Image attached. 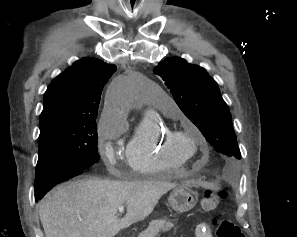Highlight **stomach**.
I'll return each instance as SVG.
<instances>
[{
    "instance_id": "1",
    "label": "stomach",
    "mask_w": 297,
    "mask_h": 237,
    "mask_svg": "<svg viewBox=\"0 0 297 237\" xmlns=\"http://www.w3.org/2000/svg\"><path fill=\"white\" fill-rule=\"evenodd\" d=\"M197 200V194L184 186L174 189L168 198L172 209L179 213L190 211L196 205Z\"/></svg>"
}]
</instances>
